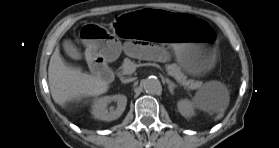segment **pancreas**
Segmentation results:
<instances>
[{"label": "pancreas", "instance_id": "obj_1", "mask_svg": "<svg viewBox=\"0 0 279 148\" xmlns=\"http://www.w3.org/2000/svg\"><path fill=\"white\" fill-rule=\"evenodd\" d=\"M133 65H137V64H135L130 59L126 58L121 66L122 74L124 75L132 74L130 73V69ZM165 69L169 75L174 77L179 82L199 83V82H194L193 80H187L186 75L181 71V68L176 63L165 65Z\"/></svg>", "mask_w": 279, "mask_h": 148}]
</instances>
